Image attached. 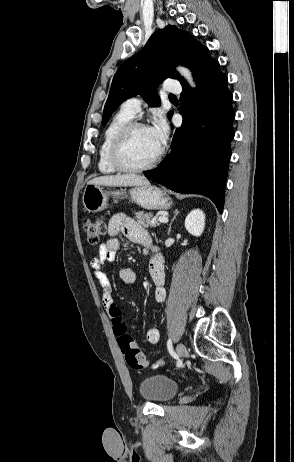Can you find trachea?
I'll return each mask as SVG.
<instances>
[{"mask_svg":"<svg viewBox=\"0 0 294 462\" xmlns=\"http://www.w3.org/2000/svg\"><path fill=\"white\" fill-rule=\"evenodd\" d=\"M170 99H176V97L174 95H171Z\"/></svg>","mask_w":294,"mask_h":462,"instance_id":"trachea-1","label":"trachea"}]
</instances>
